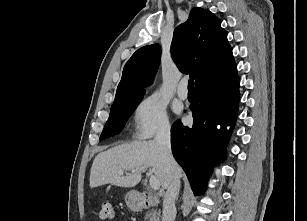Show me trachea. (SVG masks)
Segmentation results:
<instances>
[{
    "instance_id": "trachea-1",
    "label": "trachea",
    "mask_w": 307,
    "mask_h": 221,
    "mask_svg": "<svg viewBox=\"0 0 307 221\" xmlns=\"http://www.w3.org/2000/svg\"><path fill=\"white\" fill-rule=\"evenodd\" d=\"M188 90H194V80L192 79L188 81Z\"/></svg>"
}]
</instances>
